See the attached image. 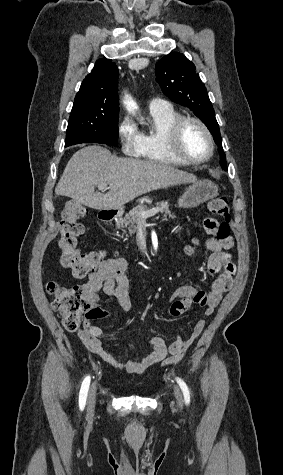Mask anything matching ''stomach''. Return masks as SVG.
Segmentation results:
<instances>
[{
  "mask_svg": "<svg viewBox=\"0 0 283 475\" xmlns=\"http://www.w3.org/2000/svg\"><path fill=\"white\" fill-rule=\"evenodd\" d=\"M218 196V188L210 180H199L187 188L178 200L180 208H196L199 204ZM123 210H118L117 218H121Z\"/></svg>",
  "mask_w": 283,
  "mask_h": 475,
  "instance_id": "1",
  "label": "stomach"
}]
</instances>
